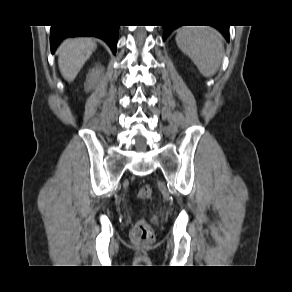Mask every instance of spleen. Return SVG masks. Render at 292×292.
<instances>
[{
  "mask_svg": "<svg viewBox=\"0 0 292 292\" xmlns=\"http://www.w3.org/2000/svg\"><path fill=\"white\" fill-rule=\"evenodd\" d=\"M176 43L204 77L213 76L223 58L221 34L212 27L186 26L178 29Z\"/></svg>",
  "mask_w": 292,
  "mask_h": 292,
  "instance_id": "3e777b00",
  "label": "spleen"
}]
</instances>
